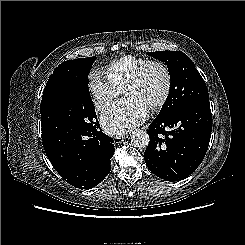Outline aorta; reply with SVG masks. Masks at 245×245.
Masks as SVG:
<instances>
[{"instance_id": "obj_1", "label": "aorta", "mask_w": 245, "mask_h": 245, "mask_svg": "<svg viewBox=\"0 0 245 245\" xmlns=\"http://www.w3.org/2000/svg\"><path fill=\"white\" fill-rule=\"evenodd\" d=\"M149 140V135L144 130H136L131 135V143L137 148L147 147Z\"/></svg>"}]
</instances>
